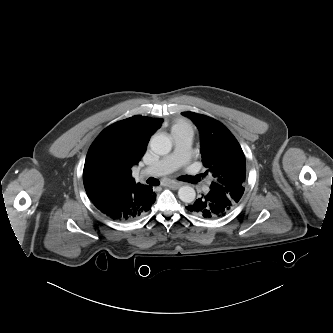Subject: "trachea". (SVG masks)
<instances>
[{"instance_id":"1","label":"trachea","mask_w":333,"mask_h":333,"mask_svg":"<svg viewBox=\"0 0 333 333\" xmlns=\"http://www.w3.org/2000/svg\"><path fill=\"white\" fill-rule=\"evenodd\" d=\"M185 178L188 181H192V182L196 183V182H198L200 180L201 175H197V176H186ZM147 183L150 184V185H153V186L158 185V181L156 179H154V178H149L147 180Z\"/></svg>"}]
</instances>
